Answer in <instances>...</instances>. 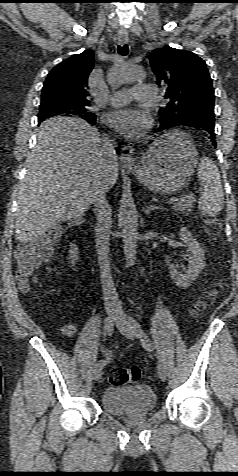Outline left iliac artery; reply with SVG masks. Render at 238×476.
Wrapping results in <instances>:
<instances>
[{"label": "left iliac artery", "mask_w": 238, "mask_h": 476, "mask_svg": "<svg viewBox=\"0 0 238 476\" xmlns=\"http://www.w3.org/2000/svg\"><path fill=\"white\" fill-rule=\"evenodd\" d=\"M129 321L133 327L135 335L141 340L143 347L147 349H155L156 346L148 338L140 324L133 317H130Z\"/></svg>", "instance_id": "44dca946"}]
</instances>
